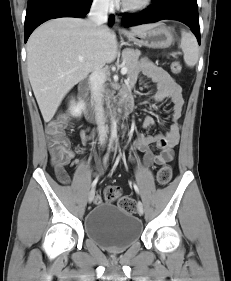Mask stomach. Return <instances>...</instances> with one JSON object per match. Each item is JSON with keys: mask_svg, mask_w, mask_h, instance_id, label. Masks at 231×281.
Here are the masks:
<instances>
[{"mask_svg": "<svg viewBox=\"0 0 231 281\" xmlns=\"http://www.w3.org/2000/svg\"><path fill=\"white\" fill-rule=\"evenodd\" d=\"M124 35L134 44L149 48H167L173 42L171 30L161 24H153L151 28L139 32L125 31Z\"/></svg>", "mask_w": 231, "mask_h": 281, "instance_id": "stomach-1", "label": "stomach"}]
</instances>
